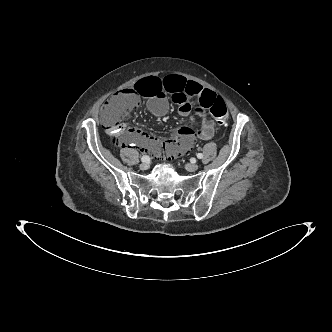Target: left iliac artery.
Wrapping results in <instances>:
<instances>
[{
    "label": "left iliac artery",
    "instance_id": "left-iliac-artery-1",
    "mask_svg": "<svg viewBox=\"0 0 332 332\" xmlns=\"http://www.w3.org/2000/svg\"><path fill=\"white\" fill-rule=\"evenodd\" d=\"M197 158H198V159H202V158H203V154H202V153H198V154H197Z\"/></svg>",
    "mask_w": 332,
    "mask_h": 332
}]
</instances>
